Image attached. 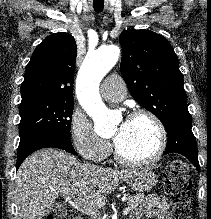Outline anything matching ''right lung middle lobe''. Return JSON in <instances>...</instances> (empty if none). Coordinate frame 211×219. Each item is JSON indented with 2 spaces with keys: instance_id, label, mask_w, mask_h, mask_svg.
Instances as JSON below:
<instances>
[{
  "instance_id": "dd1d6c3e",
  "label": "right lung middle lobe",
  "mask_w": 211,
  "mask_h": 219,
  "mask_svg": "<svg viewBox=\"0 0 211 219\" xmlns=\"http://www.w3.org/2000/svg\"><path fill=\"white\" fill-rule=\"evenodd\" d=\"M20 143L40 135H52L71 141L73 100L32 98L21 101Z\"/></svg>"
}]
</instances>
